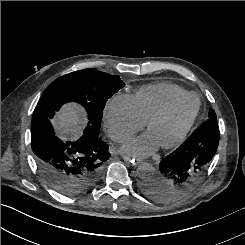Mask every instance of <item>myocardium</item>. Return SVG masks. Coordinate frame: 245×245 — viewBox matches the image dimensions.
I'll return each mask as SVG.
<instances>
[{"label":"myocardium","mask_w":245,"mask_h":245,"mask_svg":"<svg viewBox=\"0 0 245 245\" xmlns=\"http://www.w3.org/2000/svg\"><path fill=\"white\" fill-rule=\"evenodd\" d=\"M190 98H195L197 100V107H196V110H195L193 117L188 122V124L185 126V128L181 131V133L174 140H172L171 142H168L166 144L160 145V147L162 149L168 150V149L175 148V147L179 146L181 143H183V141L186 139L187 135L192 130V128H193V126H194V124L198 118L199 112H200L201 103H200L199 97L194 93H188L187 95H184L180 98H177V99L169 102L167 105H165L158 112L153 114L145 122V126H146L147 130H149L153 124H155L156 122L167 117L178 105H180L181 103L185 102L186 100H188Z\"/></svg>","instance_id":"f54148a6"}]
</instances>
